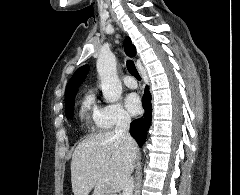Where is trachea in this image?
I'll return each instance as SVG.
<instances>
[{
	"label": "trachea",
	"mask_w": 240,
	"mask_h": 195,
	"mask_svg": "<svg viewBox=\"0 0 240 195\" xmlns=\"http://www.w3.org/2000/svg\"><path fill=\"white\" fill-rule=\"evenodd\" d=\"M127 69H128V72L131 73V75H133L137 80L141 81L139 72L137 71L134 62L130 59L127 60Z\"/></svg>",
	"instance_id": "obj_1"
}]
</instances>
